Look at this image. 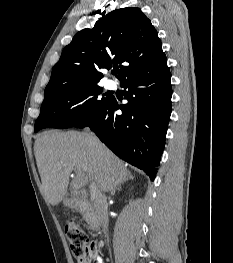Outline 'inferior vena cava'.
I'll return each mask as SVG.
<instances>
[{"mask_svg": "<svg viewBox=\"0 0 233 263\" xmlns=\"http://www.w3.org/2000/svg\"><path fill=\"white\" fill-rule=\"evenodd\" d=\"M91 197L93 200L95 210L99 217V221L102 226L103 233L105 234V236H107L109 218H108V211H107L108 205H107L106 197L100 192V190L95 185H92Z\"/></svg>", "mask_w": 233, "mask_h": 263, "instance_id": "inferior-vena-cava-1", "label": "inferior vena cava"}]
</instances>
